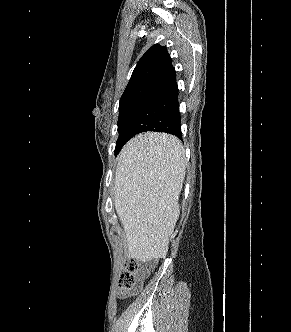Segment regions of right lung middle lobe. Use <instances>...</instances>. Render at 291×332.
Here are the masks:
<instances>
[{"instance_id": "obj_1", "label": "right lung middle lobe", "mask_w": 291, "mask_h": 332, "mask_svg": "<svg viewBox=\"0 0 291 332\" xmlns=\"http://www.w3.org/2000/svg\"><path fill=\"white\" fill-rule=\"evenodd\" d=\"M146 96L144 94L128 97L126 99L120 100L119 103V119H118V132L119 137L116 142L115 155H117L125 143L124 130L130 121L133 110L137 107L141 99Z\"/></svg>"}]
</instances>
